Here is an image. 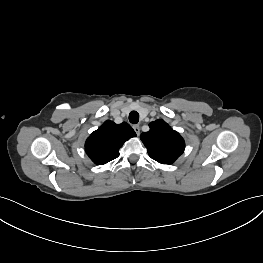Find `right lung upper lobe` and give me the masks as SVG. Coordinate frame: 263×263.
Instances as JSON below:
<instances>
[{"label":"right lung upper lobe","instance_id":"1","mask_svg":"<svg viewBox=\"0 0 263 263\" xmlns=\"http://www.w3.org/2000/svg\"><path fill=\"white\" fill-rule=\"evenodd\" d=\"M135 136L128 123L115 124L108 120L88 137L85 150L95 164L103 165L117 158L124 142Z\"/></svg>","mask_w":263,"mask_h":263}]
</instances>
